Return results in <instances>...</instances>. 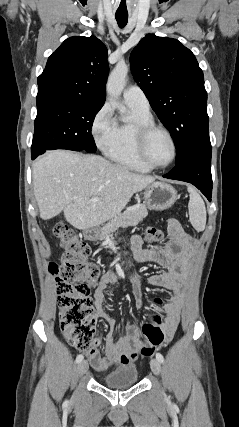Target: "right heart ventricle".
Instances as JSON below:
<instances>
[{"instance_id": "1", "label": "right heart ventricle", "mask_w": 239, "mask_h": 427, "mask_svg": "<svg viewBox=\"0 0 239 427\" xmlns=\"http://www.w3.org/2000/svg\"><path fill=\"white\" fill-rule=\"evenodd\" d=\"M131 116L128 121L116 122L114 136L104 150L106 156L115 164L133 171L146 173L151 169L139 158L136 148V131L141 124L154 123L150 111L129 106Z\"/></svg>"}]
</instances>
